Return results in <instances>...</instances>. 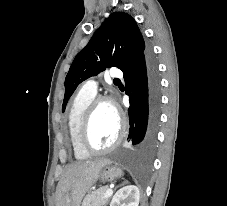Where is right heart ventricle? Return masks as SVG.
Here are the masks:
<instances>
[{
	"mask_svg": "<svg viewBox=\"0 0 227 206\" xmlns=\"http://www.w3.org/2000/svg\"><path fill=\"white\" fill-rule=\"evenodd\" d=\"M95 94L80 90L71 102L67 113V131L73 152L77 160H84L89 157V153L84 151L78 141V131L81 118L88 104L94 99Z\"/></svg>",
	"mask_w": 227,
	"mask_h": 206,
	"instance_id": "right-heart-ventricle-1",
	"label": "right heart ventricle"
}]
</instances>
